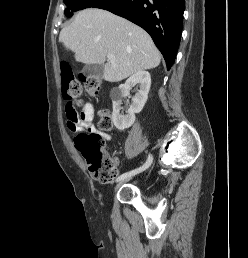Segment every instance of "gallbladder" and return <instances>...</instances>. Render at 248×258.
<instances>
[{
	"instance_id": "gallbladder-1",
	"label": "gallbladder",
	"mask_w": 248,
	"mask_h": 258,
	"mask_svg": "<svg viewBox=\"0 0 248 258\" xmlns=\"http://www.w3.org/2000/svg\"><path fill=\"white\" fill-rule=\"evenodd\" d=\"M104 67L103 64H87L82 69V72L88 77H103Z\"/></svg>"
}]
</instances>
